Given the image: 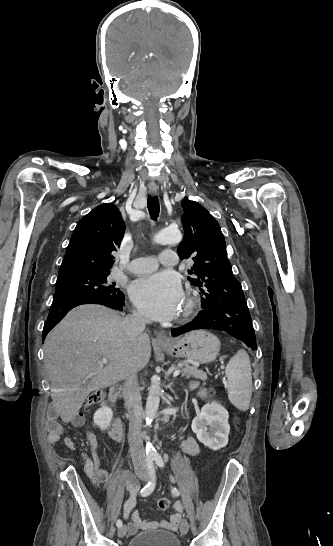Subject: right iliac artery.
Instances as JSON below:
<instances>
[{
    "instance_id": "1",
    "label": "right iliac artery",
    "mask_w": 333,
    "mask_h": 546,
    "mask_svg": "<svg viewBox=\"0 0 333 546\" xmlns=\"http://www.w3.org/2000/svg\"><path fill=\"white\" fill-rule=\"evenodd\" d=\"M153 457H148L147 458V468H148V471H149V475L151 477V480L149 481V483L140 491V494L141 496H148L150 495L154 488H155V467H154V463H153ZM123 524L122 520H118L116 525L117 527H121Z\"/></svg>"
}]
</instances>
